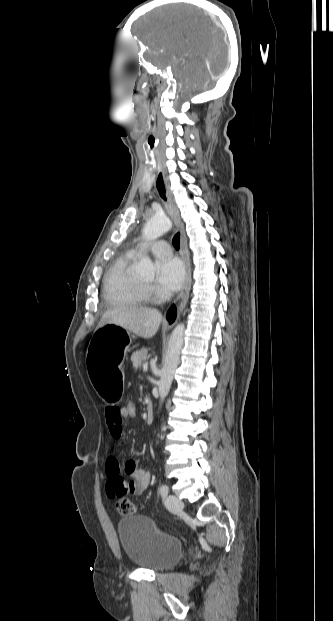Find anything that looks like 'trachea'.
Returning <instances> with one entry per match:
<instances>
[{"label": "trachea", "mask_w": 333, "mask_h": 621, "mask_svg": "<svg viewBox=\"0 0 333 621\" xmlns=\"http://www.w3.org/2000/svg\"><path fill=\"white\" fill-rule=\"evenodd\" d=\"M173 246L176 250H179L180 247V233L175 234L172 240Z\"/></svg>", "instance_id": "1"}]
</instances>
